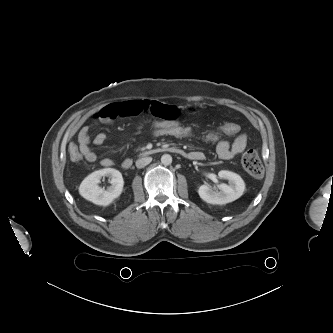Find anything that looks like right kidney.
Segmentation results:
<instances>
[{
  "label": "right kidney",
  "instance_id": "right-kidney-1",
  "mask_svg": "<svg viewBox=\"0 0 333 333\" xmlns=\"http://www.w3.org/2000/svg\"><path fill=\"white\" fill-rule=\"evenodd\" d=\"M109 177L111 186L107 190L99 187L102 177ZM122 174L113 168H105L88 175L79 186L80 195L94 204L107 206L118 198L123 191Z\"/></svg>",
  "mask_w": 333,
  "mask_h": 333
}]
</instances>
